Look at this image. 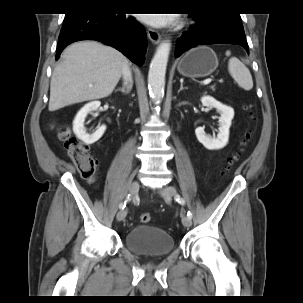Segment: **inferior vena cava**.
<instances>
[{
  "label": "inferior vena cava",
  "mask_w": 303,
  "mask_h": 303,
  "mask_svg": "<svg viewBox=\"0 0 303 303\" xmlns=\"http://www.w3.org/2000/svg\"><path fill=\"white\" fill-rule=\"evenodd\" d=\"M122 75H123V78L124 80L126 81V84L127 82H130V85H132V74H131V70L128 66V64H126L123 68V71H122Z\"/></svg>",
  "instance_id": "inferior-vena-cava-1"
}]
</instances>
